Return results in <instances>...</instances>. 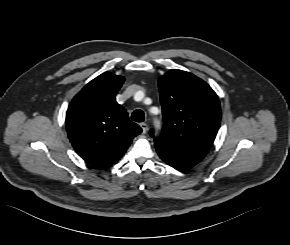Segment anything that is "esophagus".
<instances>
[{
	"instance_id": "34e87169",
	"label": "esophagus",
	"mask_w": 290,
	"mask_h": 245,
	"mask_svg": "<svg viewBox=\"0 0 290 245\" xmlns=\"http://www.w3.org/2000/svg\"><path fill=\"white\" fill-rule=\"evenodd\" d=\"M140 127L142 128L144 134L147 133L148 125L146 123H140Z\"/></svg>"
}]
</instances>
